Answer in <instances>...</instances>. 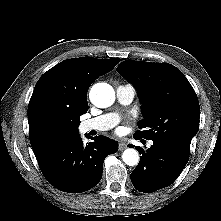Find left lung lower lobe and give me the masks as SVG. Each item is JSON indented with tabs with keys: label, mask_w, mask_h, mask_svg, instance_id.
I'll return each instance as SVG.
<instances>
[{
	"label": "left lung lower lobe",
	"mask_w": 221,
	"mask_h": 221,
	"mask_svg": "<svg viewBox=\"0 0 221 221\" xmlns=\"http://www.w3.org/2000/svg\"><path fill=\"white\" fill-rule=\"evenodd\" d=\"M153 142L146 151L137 147L141 159L131 173V181L140 192L151 193L171 185L189 160V154L177 147L164 141Z\"/></svg>",
	"instance_id": "0a47b994"
}]
</instances>
